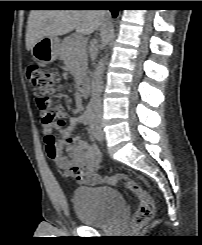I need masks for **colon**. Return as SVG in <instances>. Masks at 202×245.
Segmentation results:
<instances>
[{"label": "colon", "instance_id": "colon-1", "mask_svg": "<svg viewBox=\"0 0 202 245\" xmlns=\"http://www.w3.org/2000/svg\"><path fill=\"white\" fill-rule=\"evenodd\" d=\"M27 79L32 87V94L42 122L54 124L57 128H63L68 122L55 116L51 108L50 95L62 86V74L58 70H48L38 64H30L27 68ZM57 154V149H51V156ZM105 182L118 183L135 193L139 204L134 212L132 225L134 232L151 221L154 217V203L148 192L136 181L124 175H109L104 178Z\"/></svg>", "mask_w": 202, "mask_h": 245}]
</instances>
